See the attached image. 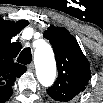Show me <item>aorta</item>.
Listing matches in <instances>:
<instances>
[{"label": "aorta", "instance_id": "762f6f07", "mask_svg": "<svg viewBox=\"0 0 103 103\" xmlns=\"http://www.w3.org/2000/svg\"><path fill=\"white\" fill-rule=\"evenodd\" d=\"M34 64L39 82L45 87L52 85L56 77V62L48 43L43 42L35 49Z\"/></svg>", "mask_w": 103, "mask_h": 103}]
</instances>
